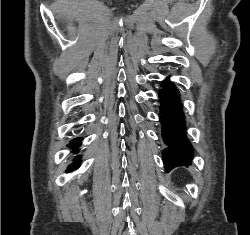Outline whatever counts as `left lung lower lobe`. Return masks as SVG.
Segmentation results:
<instances>
[{"label": "left lung lower lobe", "instance_id": "obj_1", "mask_svg": "<svg viewBox=\"0 0 250 235\" xmlns=\"http://www.w3.org/2000/svg\"><path fill=\"white\" fill-rule=\"evenodd\" d=\"M158 96L162 123V137L167 145L163 150L166 171L176 166H187L193 159V150L185 132L184 115L180 106L179 91L169 78L163 81Z\"/></svg>", "mask_w": 250, "mask_h": 235}]
</instances>
